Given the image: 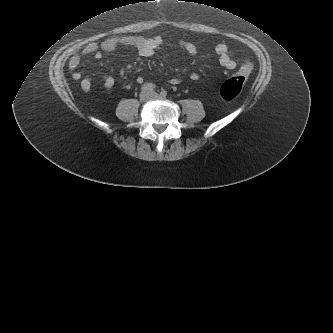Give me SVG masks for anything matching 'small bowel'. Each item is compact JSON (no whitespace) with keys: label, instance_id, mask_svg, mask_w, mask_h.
<instances>
[{"label":"small bowel","instance_id":"c3829d8e","mask_svg":"<svg viewBox=\"0 0 333 333\" xmlns=\"http://www.w3.org/2000/svg\"><path fill=\"white\" fill-rule=\"evenodd\" d=\"M164 41L161 37L152 36H123V37H110L104 40L102 43H90L79 54L77 52H71L67 55L68 59V68L71 74V77L74 80H81L80 86L82 90L89 91L92 86L91 78L86 76L83 77L82 73L77 70L78 65L81 61V55H93L96 59H101L103 57V52H112L118 47H132L137 50L138 54L142 57H150L154 54L155 50L162 47ZM180 45L184 48L190 55L197 54L196 46L187 40L180 41ZM215 53L219 58V62L222 67L227 70H233L236 67V63L233 60L229 48L220 44L215 48ZM199 74L192 72L189 75V78L193 81L199 79ZM138 83H143L144 79L142 77L138 78ZM103 89L110 90L115 84V79L111 75H104L102 77ZM182 82L181 78H172L169 80V83L172 85H177Z\"/></svg>","mask_w":333,"mask_h":333}]
</instances>
